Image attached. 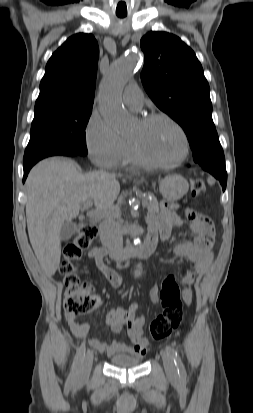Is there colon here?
<instances>
[{
    "label": "colon",
    "mask_w": 253,
    "mask_h": 413,
    "mask_svg": "<svg viewBox=\"0 0 253 413\" xmlns=\"http://www.w3.org/2000/svg\"><path fill=\"white\" fill-rule=\"evenodd\" d=\"M206 187L202 179L191 182V195L200 197ZM97 235V228L91 224L80 226L72 241L63 248V258L59 272L65 285L64 309L72 316L91 313L99 303V298L92 293L90 284L81 282L77 274L76 262L81 258L83 250L87 249ZM160 300L163 312L151 323L149 337L160 340L169 336L181 323L183 317L182 298L179 285L174 275H168L162 282Z\"/></svg>",
    "instance_id": "obj_1"
}]
</instances>
